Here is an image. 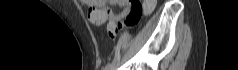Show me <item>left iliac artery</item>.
Wrapping results in <instances>:
<instances>
[{
    "label": "left iliac artery",
    "mask_w": 238,
    "mask_h": 70,
    "mask_svg": "<svg viewBox=\"0 0 238 70\" xmlns=\"http://www.w3.org/2000/svg\"><path fill=\"white\" fill-rule=\"evenodd\" d=\"M111 67H112V64L109 63V64L106 65L105 70H110Z\"/></svg>",
    "instance_id": "1"
}]
</instances>
